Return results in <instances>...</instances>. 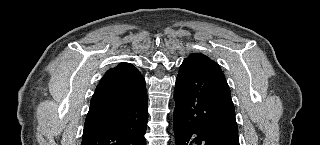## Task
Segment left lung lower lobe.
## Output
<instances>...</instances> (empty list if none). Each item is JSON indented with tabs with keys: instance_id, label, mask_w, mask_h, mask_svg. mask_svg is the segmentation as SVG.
<instances>
[{
	"instance_id": "0a47b994",
	"label": "left lung lower lobe",
	"mask_w": 320,
	"mask_h": 145,
	"mask_svg": "<svg viewBox=\"0 0 320 145\" xmlns=\"http://www.w3.org/2000/svg\"><path fill=\"white\" fill-rule=\"evenodd\" d=\"M174 98L176 145H239L235 110L221 70L185 59Z\"/></svg>"
}]
</instances>
